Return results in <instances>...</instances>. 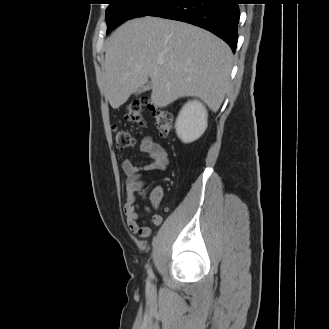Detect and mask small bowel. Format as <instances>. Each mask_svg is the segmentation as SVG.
Segmentation results:
<instances>
[{"label":"small bowel","mask_w":329,"mask_h":329,"mask_svg":"<svg viewBox=\"0 0 329 329\" xmlns=\"http://www.w3.org/2000/svg\"><path fill=\"white\" fill-rule=\"evenodd\" d=\"M140 150L148 158L149 162L142 167L135 166L131 160L125 159L122 163V169L126 176L125 198L126 202L123 207L124 214L129 229L141 238H147L151 234L149 226H140L139 220L141 214L136 204L135 192L143 186L141 181L142 171H163L169 164V158L166 150L157 142L149 137H144L140 142ZM163 198V190L160 186H155L150 194V203L152 207L159 206ZM162 222L160 215H153L150 223L159 225Z\"/></svg>","instance_id":"1"}]
</instances>
